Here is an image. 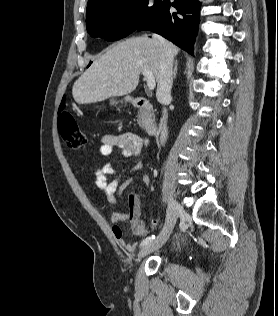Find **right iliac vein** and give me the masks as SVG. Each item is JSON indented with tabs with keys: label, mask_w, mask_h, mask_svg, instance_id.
<instances>
[{
	"label": "right iliac vein",
	"mask_w": 278,
	"mask_h": 316,
	"mask_svg": "<svg viewBox=\"0 0 278 316\" xmlns=\"http://www.w3.org/2000/svg\"><path fill=\"white\" fill-rule=\"evenodd\" d=\"M180 211L181 208L179 204L173 198H170L165 227L163 228L161 234L157 237V239L145 245L140 250L138 254V260H141L153 251L158 250L166 243L174 228Z\"/></svg>",
	"instance_id": "63e3f726"
}]
</instances>
